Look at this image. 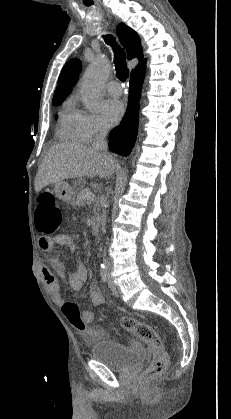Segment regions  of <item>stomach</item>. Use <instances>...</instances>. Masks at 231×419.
Segmentation results:
<instances>
[{"label":"stomach","instance_id":"stomach-1","mask_svg":"<svg viewBox=\"0 0 231 419\" xmlns=\"http://www.w3.org/2000/svg\"><path fill=\"white\" fill-rule=\"evenodd\" d=\"M77 188L71 187L67 182L60 181L56 182L54 185V192L56 196L67 203H73L75 199Z\"/></svg>","mask_w":231,"mask_h":419}]
</instances>
